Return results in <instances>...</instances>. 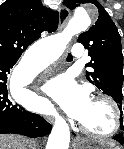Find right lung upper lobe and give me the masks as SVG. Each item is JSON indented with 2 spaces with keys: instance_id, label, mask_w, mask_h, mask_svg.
<instances>
[{
  "instance_id": "right-lung-upper-lobe-1",
  "label": "right lung upper lobe",
  "mask_w": 124,
  "mask_h": 149,
  "mask_svg": "<svg viewBox=\"0 0 124 149\" xmlns=\"http://www.w3.org/2000/svg\"><path fill=\"white\" fill-rule=\"evenodd\" d=\"M58 21V12L40 0H6L0 6V61L18 60L43 31H55Z\"/></svg>"
}]
</instances>
